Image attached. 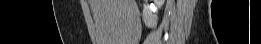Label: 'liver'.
Returning <instances> with one entry per match:
<instances>
[{"instance_id": "6515ba94", "label": "liver", "mask_w": 261, "mask_h": 44, "mask_svg": "<svg viewBox=\"0 0 261 44\" xmlns=\"http://www.w3.org/2000/svg\"><path fill=\"white\" fill-rule=\"evenodd\" d=\"M97 44H134L132 24L138 15L135 0H90Z\"/></svg>"}]
</instances>
